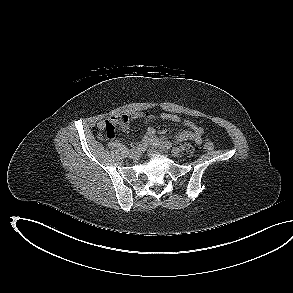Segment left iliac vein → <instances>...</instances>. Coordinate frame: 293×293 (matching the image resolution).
<instances>
[{
    "label": "left iliac vein",
    "mask_w": 293,
    "mask_h": 293,
    "mask_svg": "<svg viewBox=\"0 0 293 293\" xmlns=\"http://www.w3.org/2000/svg\"><path fill=\"white\" fill-rule=\"evenodd\" d=\"M181 154H182V151L179 148L175 147L172 149V155L174 157H180Z\"/></svg>",
    "instance_id": "obj_1"
}]
</instances>
